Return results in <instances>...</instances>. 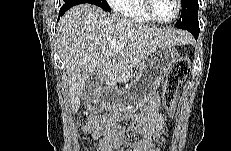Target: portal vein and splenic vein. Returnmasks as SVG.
Segmentation results:
<instances>
[{
	"instance_id": "1",
	"label": "portal vein and splenic vein",
	"mask_w": 231,
	"mask_h": 151,
	"mask_svg": "<svg viewBox=\"0 0 231 151\" xmlns=\"http://www.w3.org/2000/svg\"><path fill=\"white\" fill-rule=\"evenodd\" d=\"M119 49H121V48H123V45H121V44H118V46H117Z\"/></svg>"
}]
</instances>
